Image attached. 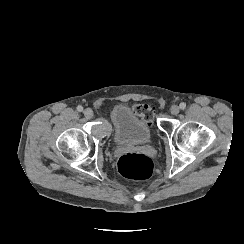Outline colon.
<instances>
[{
    "mask_svg": "<svg viewBox=\"0 0 244 244\" xmlns=\"http://www.w3.org/2000/svg\"><path fill=\"white\" fill-rule=\"evenodd\" d=\"M135 112L147 123H151L154 118V112L144 106L136 107ZM118 167L125 178L146 180L152 176L154 164L147 155L127 153L120 157Z\"/></svg>",
    "mask_w": 244,
    "mask_h": 244,
    "instance_id": "1",
    "label": "colon"
}]
</instances>
